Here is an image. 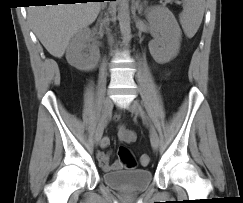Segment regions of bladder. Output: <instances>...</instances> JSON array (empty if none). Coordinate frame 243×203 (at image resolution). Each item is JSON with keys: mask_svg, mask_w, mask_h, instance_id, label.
<instances>
[{"mask_svg": "<svg viewBox=\"0 0 243 203\" xmlns=\"http://www.w3.org/2000/svg\"><path fill=\"white\" fill-rule=\"evenodd\" d=\"M102 179L117 191L135 193L144 191L151 184L153 175L150 169H130L105 172Z\"/></svg>", "mask_w": 243, "mask_h": 203, "instance_id": "31cf9c89", "label": "bladder"}]
</instances>
